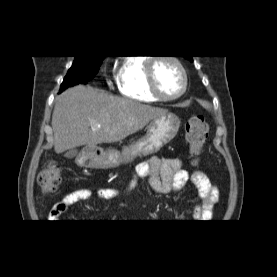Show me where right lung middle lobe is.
<instances>
[{"mask_svg":"<svg viewBox=\"0 0 277 277\" xmlns=\"http://www.w3.org/2000/svg\"><path fill=\"white\" fill-rule=\"evenodd\" d=\"M105 56L100 57H81L75 56L72 67L65 76L61 84L60 92L64 89L79 83H86L91 80L98 72L99 67Z\"/></svg>","mask_w":277,"mask_h":277,"instance_id":"dd1d6c3e","label":"right lung middle lobe"}]
</instances>
